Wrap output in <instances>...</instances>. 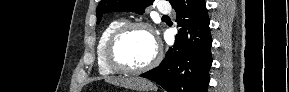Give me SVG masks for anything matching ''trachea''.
Instances as JSON below:
<instances>
[{
    "label": "trachea",
    "mask_w": 289,
    "mask_h": 92,
    "mask_svg": "<svg viewBox=\"0 0 289 92\" xmlns=\"http://www.w3.org/2000/svg\"><path fill=\"white\" fill-rule=\"evenodd\" d=\"M166 17H168V16H167V15H164V16H163V18H166Z\"/></svg>",
    "instance_id": "obj_1"
}]
</instances>
